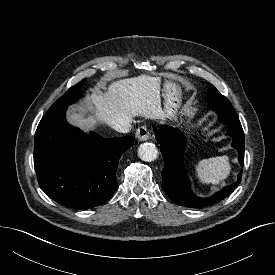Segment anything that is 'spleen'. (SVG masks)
Masks as SVG:
<instances>
[{"label":"spleen","mask_w":275,"mask_h":275,"mask_svg":"<svg viewBox=\"0 0 275 275\" xmlns=\"http://www.w3.org/2000/svg\"><path fill=\"white\" fill-rule=\"evenodd\" d=\"M228 156L215 157L199 161L195 165V175L202 184H219L230 174Z\"/></svg>","instance_id":"3e777b00"}]
</instances>
